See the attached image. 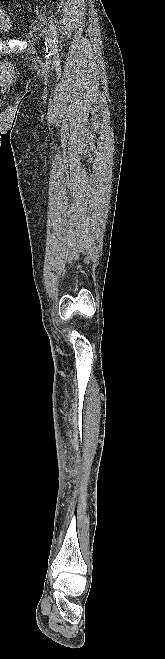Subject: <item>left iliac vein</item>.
Segmentation results:
<instances>
[{
    "label": "left iliac vein",
    "instance_id": "obj_1",
    "mask_svg": "<svg viewBox=\"0 0 165 659\" xmlns=\"http://www.w3.org/2000/svg\"><path fill=\"white\" fill-rule=\"evenodd\" d=\"M46 41H47V43H49V44H51V43L54 41V39H53L51 33H50L48 30H46Z\"/></svg>",
    "mask_w": 165,
    "mask_h": 659
}]
</instances>
